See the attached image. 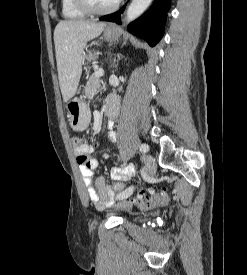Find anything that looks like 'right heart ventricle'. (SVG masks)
I'll return each instance as SVG.
<instances>
[{"label":"right heart ventricle","mask_w":247,"mask_h":275,"mask_svg":"<svg viewBox=\"0 0 247 275\" xmlns=\"http://www.w3.org/2000/svg\"><path fill=\"white\" fill-rule=\"evenodd\" d=\"M62 15L68 19H81L85 13L77 9L72 0H61Z\"/></svg>","instance_id":"obj_1"}]
</instances>
